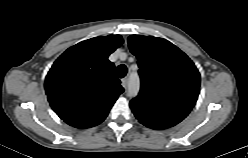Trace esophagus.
<instances>
[{
  "label": "esophagus",
  "instance_id": "obj_1",
  "mask_svg": "<svg viewBox=\"0 0 248 158\" xmlns=\"http://www.w3.org/2000/svg\"><path fill=\"white\" fill-rule=\"evenodd\" d=\"M121 85L123 88H127V85H128V79L125 77L121 80Z\"/></svg>",
  "mask_w": 248,
  "mask_h": 158
}]
</instances>
